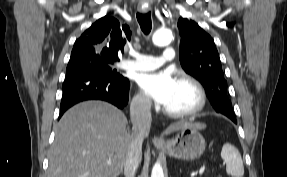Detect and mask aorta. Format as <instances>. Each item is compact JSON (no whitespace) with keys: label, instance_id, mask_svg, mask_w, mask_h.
<instances>
[{"label":"aorta","instance_id":"762f6f07","mask_svg":"<svg viewBox=\"0 0 287 177\" xmlns=\"http://www.w3.org/2000/svg\"><path fill=\"white\" fill-rule=\"evenodd\" d=\"M172 38L173 35L170 30L159 29L153 34L152 41L157 46H166L171 43ZM151 177H164L163 168L159 162L153 166Z\"/></svg>","mask_w":287,"mask_h":177}]
</instances>
